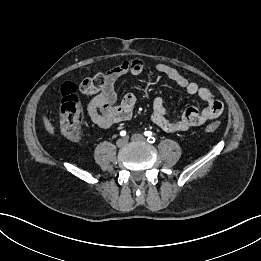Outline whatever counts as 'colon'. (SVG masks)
<instances>
[{
    "mask_svg": "<svg viewBox=\"0 0 261 261\" xmlns=\"http://www.w3.org/2000/svg\"><path fill=\"white\" fill-rule=\"evenodd\" d=\"M105 85V75L96 74L82 82V87L89 92H97ZM77 85L66 82L61 88V104L59 109V121L62 134L70 140H79L83 136L82 111L79 98L76 94ZM220 121H214L205 128L206 132H215L219 129Z\"/></svg>",
    "mask_w": 261,
    "mask_h": 261,
    "instance_id": "1",
    "label": "colon"
}]
</instances>
